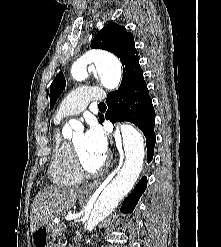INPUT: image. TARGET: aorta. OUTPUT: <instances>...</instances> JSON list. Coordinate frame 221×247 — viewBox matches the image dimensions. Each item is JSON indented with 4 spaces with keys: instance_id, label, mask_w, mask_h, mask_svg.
Returning a JSON list of instances; mask_svg holds the SVG:
<instances>
[{
    "instance_id": "obj_1",
    "label": "aorta",
    "mask_w": 221,
    "mask_h": 247,
    "mask_svg": "<svg viewBox=\"0 0 221 247\" xmlns=\"http://www.w3.org/2000/svg\"><path fill=\"white\" fill-rule=\"evenodd\" d=\"M94 68L104 84L115 89L121 80V64L119 60L102 51H93L77 60L71 69L75 79H81L86 70ZM81 128L76 120H70L63 128L65 136H71L72 130ZM125 160L122 168L97 198L87 222V230L93 231L133 188L142 170L145 154L144 139L141 133L130 124L121 126Z\"/></svg>"
}]
</instances>
